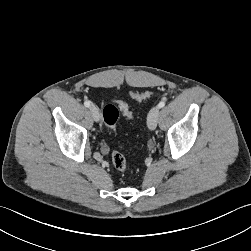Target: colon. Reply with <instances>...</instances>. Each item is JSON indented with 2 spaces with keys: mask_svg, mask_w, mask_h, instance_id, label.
<instances>
[{
  "mask_svg": "<svg viewBox=\"0 0 251 251\" xmlns=\"http://www.w3.org/2000/svg\"><path fill=\"white\" fill-rule=\"evenodd\" d=\"M151 95V92H130V96L136 100H143L148 98ZM119 112L128 118L131 119L133 114L129 109L128 105L123 101H116L114 103H110L106 105L103 109L102 115L105 125L112 131L115 130V126L119 117ZM111 162L115 169L120 172H124L126 170V160L122 154L119 152H113L111 154Z\"/></svg>",
  "mask_w": 251,
  "mask_h": 251,
  "instance_id": "1",
  "label": "colon"
}]
</instances>
